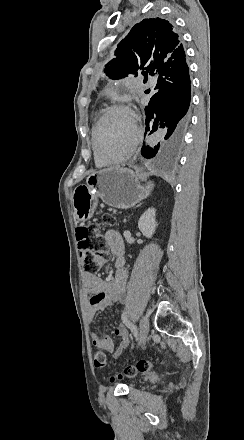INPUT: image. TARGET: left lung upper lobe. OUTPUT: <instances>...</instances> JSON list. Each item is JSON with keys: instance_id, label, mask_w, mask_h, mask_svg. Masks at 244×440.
I'll return each mask as SVG.
<instances>
[{"instance_id": "5c2ea615", "label": "left lung upper lobe", "mask_w": 244, "mask_h": 440, "mask_svg": "<svg viewBox=\"0 0 244 440\" xmlns=\"http://www.w3.org/2000/svg\"><path fill=\"white\" fill-rule=\"evenodd\" d=\"M117 58L106 65V75L120 79L137 70L154 75L162 66L180 62L185 57L179 35L171 23L161 18L144 19L137 23L115 51Z\"/></svg>"}]
</instances>
